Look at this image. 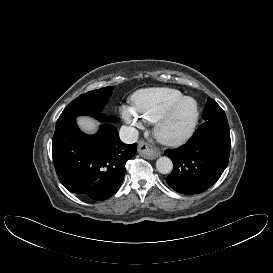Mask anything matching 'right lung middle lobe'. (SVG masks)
<instances>
[{"instance_id":"right-lung-middle-lobe-1","label":"right lung middle lobe","mask_w":273,"mask_h":273,"mask_svg":"<svg viewBox=\"0 0 273 273\" xmlns=\"http://www.w3.org/2000/svg\"><path fill=\"white\" fill-rule=\"evenodd\" d=\"M112 90V87H105L80 95L66 106L56 125L75 119L79 115H91L101 119L102 114L100 112L110 97Z\"/></svg>"}]
</instances>
